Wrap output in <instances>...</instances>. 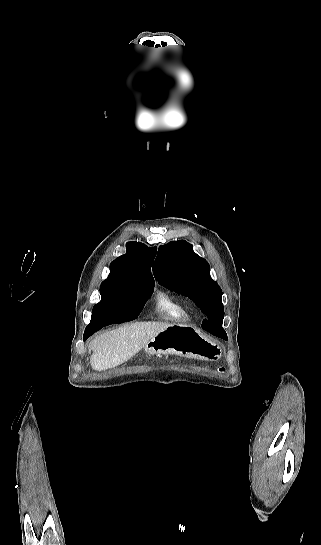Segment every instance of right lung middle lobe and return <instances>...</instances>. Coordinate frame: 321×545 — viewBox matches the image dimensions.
I'll return each mask as SVG.
<instances>
[{
    "label": "right lung middle lobe",
    "mask_w": 321,
    "mask_h": 545,
    "mask_svg": "<svg viewBox=\"0 0 321 545\" xmlns=\"http://www.w3.org/2000/svg\"><path fill=\"white\" fill-rule=\"evenodd\" d=\"M154 287H141L137 289H127L121 287H115L106 285L104 283L100 286L101 301L96 304L92 311L91 322H96V310L105 304L108 301L124 297V296H135L142 300L143 304L146 303L147 299L150 297Z\"/></svg>",
    "instance_id": "dd1d6c3e"
}]
</instances>
